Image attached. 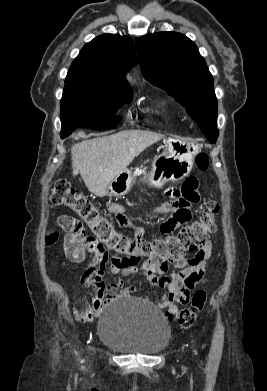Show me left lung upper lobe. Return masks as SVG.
<instances>
[{
	"mask_svg": "<svg viewBox=\"0 0 267 391\" xmlns=\"http://www.w3.org/2000/svg\"><path fill=\"white\" fill-rule=\"evenodd\" d=\"M136 49L144 77L185 106L204 134L209 131L215 142L218 131L213 77L196 45L183 34L159 32L137 39Z\"/></svg>",
	"mask_w": 267,
	"mask_h": 391,
	"instance_id": "left-lung-upper-lobe-1",
	"label": "left lung upper lobe"
}]
</instances>
